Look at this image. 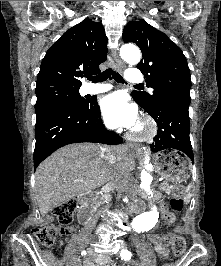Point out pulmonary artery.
I'll use <instances>...</instances> for the list:
<instances>
[{"mask_svg": "<svg viewBox=\"0 0 221 266\" xmlns=\"http://www.w3.org/2000/svg\"><path fill=\"white\" fill-rule=\"evenodd\" d=\"M126 78L129 82L139 83L144 79V73L137 68H130L126 73ZM111 89L110 85H98L96 87L89 88L88 92L91 94H99Z\"/></svg>", "mask_w": 221, "mask_h": 266, "instance_id": "obj_1", "label": "pulmonary artery"}]
</instances>
